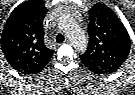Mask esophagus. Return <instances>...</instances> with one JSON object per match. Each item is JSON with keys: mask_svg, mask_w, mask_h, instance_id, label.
I'll return each mask as SVG.
<instances>
[{"mask_svg": "<svg viewBox=\"0 0 135 95\" xmlns=\"http://www.w3.org/2000/svg\"><path fill=\"white\" fill-rule=\"evenodd\" d=\"M64 42H65L66 44H70V43H71V41H70L69 39H66Z\"/></svg>", "mask_w": 135, "mask_h": 95, "instance_id": "1", "label": "esophagus"}]
</instances>
